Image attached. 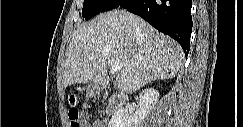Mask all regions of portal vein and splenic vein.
<instances>
[{
	"label": "portal vein and splenic vein",
	"instance_id": "portal-vein-and-splenic-vein-1",
	"mask_svg": "<svg viewBox=\"0 0 243 127\" xmlns=\"http://www.w3.org/2000/svg\"><path fill=\"white\" fill-rule=\"evenodd\" d=\"M107 63L110 69L114 72H119L122 68L121 64L117 61L108 59Z\"/></svg>",
	"mask_w": 243,
	"mask_h": 127
}]
</instances>
